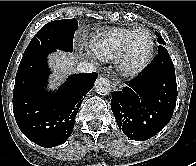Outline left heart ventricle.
I'll use <instances>...</instances> for the list:
<instances>
[{
	"mask_svg": "<svg viewBox=\"0 0 196 166\" xmlns=\"http://www.w3.org/2000/svg\"><path fill=\"white\" fill-rule=\"evenodd\" d=\"M149 47V37L145 32L134 34L130 42L131 56L134 62H139Z\"/></svg>",
	"mask_w": 196,
	"mask_h": 166,
	"instance_id": "obj_1",
	"label": "left heart ventricle"
}]
</instances>
